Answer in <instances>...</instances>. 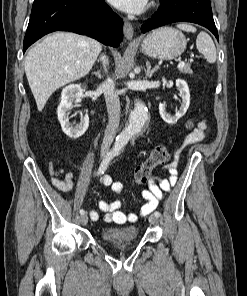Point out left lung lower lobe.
Masks as SVG:
<instances>
[{"label": "left lung lower lobe", "mask_w": 247, "mask_h": 296, "mask_svg": "<svg viewBox=\"0 0 247 296\" xmlns=\"http://www.w3.org/2000/svg\"><path fill=\"white\" fill-rule=\"evenodd\" d=\"M160 3L158 11L141 27L143 33L165 24L185 21L208 28L218 39L210 0H160Z\"/></svg>", "instance_id": "1"}]
</instances>
